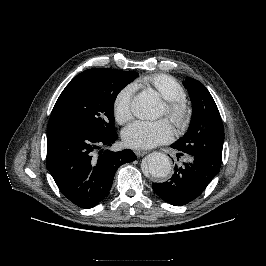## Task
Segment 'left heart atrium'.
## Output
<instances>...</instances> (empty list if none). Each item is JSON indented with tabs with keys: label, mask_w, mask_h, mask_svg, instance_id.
I'll use <instances>...</instances> for the list:
<instances>
[{
	"label": "left heart atrium",
	"mask_w": 266,
	"mask_h": 266,
	"mask_svg": "<svg viewBox=\"0 0 266 266\" xmlns=\"http://www.w3.org/2000/svg\"><path fill=\"white\" fill-rule=\"evenodd\" d=\"M122 137L128 147L148 149L170 141L173 138V130L167 120H137L124 129Z\"/></svg>",
	"instance_id": "39dd6f15"
}]
</instances>
